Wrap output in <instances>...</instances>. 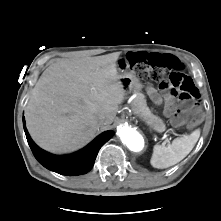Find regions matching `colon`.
Here are the masks:
<instances>
[{
    "label": "colon",
    "instance_id": "1",
    "mask_svg": "<svg viewBox=\"0 0 221 221\" xmlns=\"http://www.w3.org/2000/svg\"><path fill=\"white\" fill-rule=\"evenodd\" d=\"M141 58V54L129 53L126 59L120 61V64L125 66L128 63L132 73L156 81L171 95H178L182 106L175 113L174 120L186 122L190 129L197 126L201 117L193 115L190 108L193 100L198 97V90L193 80L184 73V66L180 60L172 55L159 53H150L146 62L141 61Z\"/></svg>",
    "mask_w": 221,
    "mask_h": 221
}]
</instances>
